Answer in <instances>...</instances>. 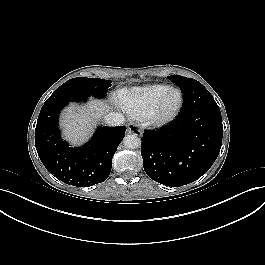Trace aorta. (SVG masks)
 Segmentation results:
<instances>
[{
  "mask_svg": "<svg viewBox=\"0 0 265 265\" xmlns=\"http://www.w3.org/2000/svg\"><path fill=\"white\" fill-rule=\"evenodd\" d=\"M123 144L128 149H137L141 147V139L135 134L126 135Z\"/></svg>",
  "mask_w": 265,
  "mask_h": 265,
  "instance_id": "obj_1",
  "label": "aorta"
}]
</instances>
